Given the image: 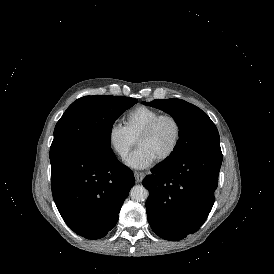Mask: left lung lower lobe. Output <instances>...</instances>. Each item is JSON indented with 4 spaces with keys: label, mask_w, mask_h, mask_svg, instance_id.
<instances>
[{
    "label": "left lung lower lobe",
    "mask_w": 274,
    "mask_h": 274,
    "mask_svg": "<svg viewBox=\"0 0 274 274\" xmlns=\"http://www.w3.org/2000/svg\"><path fill=\"white\" fill-rule=\"evenodd\" d=\"M221 163V149H207L151 169L142 183L149 190L148 221L158 236L178 241L201 227L215 201Z\"/></svg>",
    "instance_id": "1"
}]
</instances>
